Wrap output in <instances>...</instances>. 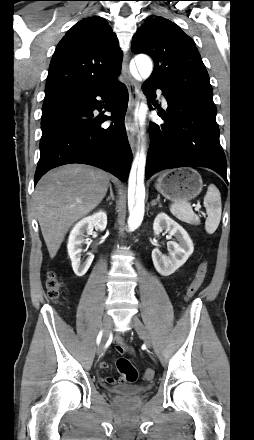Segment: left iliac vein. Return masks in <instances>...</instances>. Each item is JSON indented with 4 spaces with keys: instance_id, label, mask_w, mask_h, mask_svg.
<instances>
[{
    "instance_id": "4c4485c4",
    "label": "left iliac vein",
    "mask_w": 254,
    "mask_h": 440,
    "mask_svg": "<svg viewBox=\"0 0 254 440\" xmlns=\"http://www.w3.org/2000/svg\"><path fill=\"white\" fill-rule=\"evenodd\" d=\"M131 325L133 326L137 334L144 340V343L147 345V347L151 348L152 347L151 338L148 333V330L146 329L142 321L138 317L132 316Z\"/></svg>"
}]
</instances>
